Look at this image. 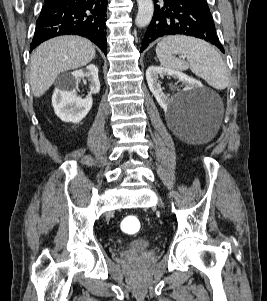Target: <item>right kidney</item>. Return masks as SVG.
<instances>
[{"label":"right kidney","instance_id":"obj_1","mask_svg":"<svg viewBox=\"0 0 267 301\" xmlns=\"http://www.w3.org/2000/svg\"><path fill=\"white\" fill-rule=\"evenodd\" d=\"M84 78L90 82V92L86 98L82 99L77 96L76 89ZM99 91L98 68L94 64L72 72L68 82L60 85L53 93L52 105L55 114L64 122L79 123L92 107V95Z\"/></svg>","mask_w":267,"mask_h":301}]
</instances>
